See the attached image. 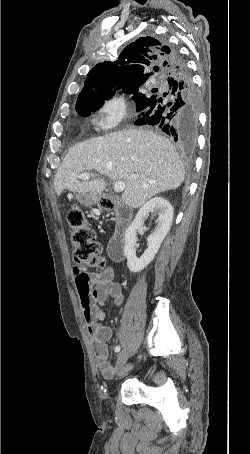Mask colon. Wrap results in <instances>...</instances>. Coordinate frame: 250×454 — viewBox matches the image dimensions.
Masks as SVG:
<instances>
[{
    "mask_svg": "<svg viewBox=\"0 0 250 454\" xmlns=\"http://www.w3.org/2000/svg\"><path fill=\"white\" fill-rule=\"evenodd\" d=\"M100 205L105 209H112L114 201L110 198H102ZM67 222L72 257L78 267L84 271L89 268H103L105 263L100 256L96 235L82 210L77 206H70L67 211Z\"/></svg>",
    "mask_w": 250,
    "mask_h": 454,
    "instance_id": "1",
    "label": "colon"
}]
</instances>
